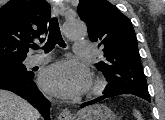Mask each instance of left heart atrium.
Here are the masks:
<instances>
[{"mask_svg": "<svg viewBox=\"0 0 165 120\" xmlns=\"http://www.w3.org/2000/svg\"><path fill=\"white\" fill-rule=\"evenodd\" d=\"M40 85L49 93L74 98L90 86L88 69L75 61H60L47 67L39 79Z\"/></svg>", "mask_w": 165, "mask_h": 120, "instance_id": "39dd6f15", "label": "left heart atrium"}]
</instances>
